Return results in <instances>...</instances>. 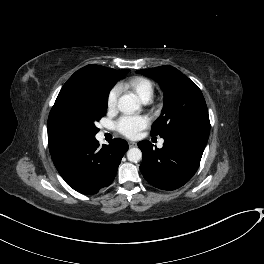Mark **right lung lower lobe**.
Here are the masks:
<instances>
[{
	"label": "right lung lower lobe",
	"instance_id": "98d812e1",
	"mask_svg": "<svg viewBox=\"0 0 264 264\" xmlns=\"http://www.w3.org/2000/svg\"><path fill=\"white\" fill-rule=\"evenodd\" d=\"M128 144L114 139L100 147L95 139L74 143L52 154L59 174L74 190L92 195L108 187L116 175Z\"/></svg>",
	"mask_w": 264,
	"mask_h": 264
}]
</instances>
